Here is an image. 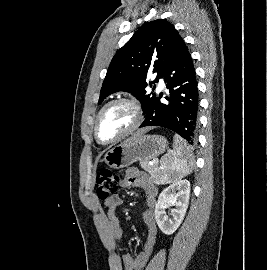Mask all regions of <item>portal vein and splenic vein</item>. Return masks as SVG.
I'll return each instance as SVG.
<instances>
[{
  "mask_svg": "<svg viewBox=\"0 0 267 270\" xmlns=\"http://www.w3.org/2000/svg\"><path fill=\"white\" fill-rule=\"evenodd\" d=\"M155 163H158V160H153V161L151 162V164H155Z\"/></svg>",
  "mask_w": 267,
  "mask_h": 270,
  "instance_id": "1",
  "label": "portal vein and splenic vein"
}]
</instances>
